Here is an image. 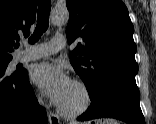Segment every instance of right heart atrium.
<instances>
[{
	"mask_svg": "<svg viewBox=\"0 0 156 124\" xmlns=\"http://www.w3.org/2000/svg\"><path fill=\"white\" fill-rule=\"evenodd\" d=\"M38 98H39V100L41 101V100H42V95L40 94V95L38 96Z\"/></svg>",
	"mask_w": 156,
	"mask_h": 124,
	"instance_id": "obj_1",
	"label": "right heart atrium"
}]
</instances>
